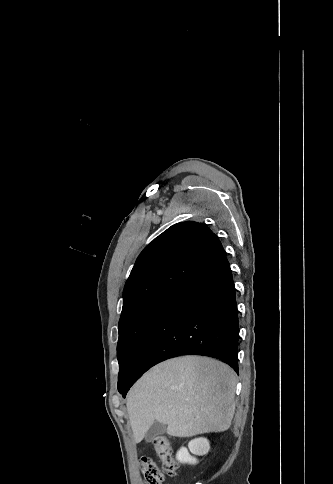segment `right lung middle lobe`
<instances>
[{
	"mask_svg": "<svg viewBox=\"0 0 333 484\" xmlns=\"http://www.w3.org/2000/svg\"><path fill=\"white\" fill-rule=\"evenodd\" d=\"M171 293H159L121 315L117 345V357L120 367L118 390H122L126 386L135 351L156 313Z\"/></svg>",
	"mask_w": 333,
	"mask_h": 484,
	"instance_id": "dd1d6c3e",
	"label": "right lung middle lobe"
}]
</instances>
